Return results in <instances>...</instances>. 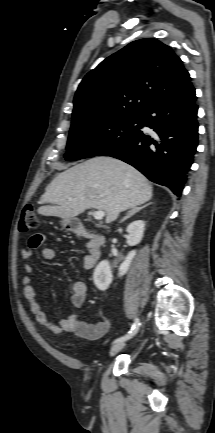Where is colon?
I'll list each match as a JSON object with an SVG mask.
<instances>
[{
	"label": "colon",
	"instance_id": "obj_1",
	"mask_svg": "<svg viewBox=\"0 0 215 433\" xmlns=\"http://www.w3.org/2000/svg\"><path fill=\"white\" fill-rule=\"evenodd\" d=\"M38 226V217L32 205H26L20 214L19 218V232L28 233Z\"/></svg>",
	"mask_w": 215,
	"mask_h": 433
}]
</instances>
